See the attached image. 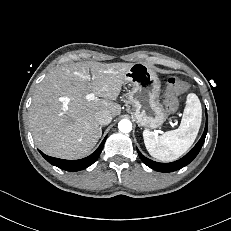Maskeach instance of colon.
Wrapping results in <instances>:
<instances>
[{
	"label": "colon",
	"instance_id": "5ec220e1",
	"mask_svg": "<svg viewBox=\"0 0 231 231\" xmlns=\"http://www.w3.org/2000/svg\"><path fill=\"white\" fill-rule=\"evenodd\" d=\"M189 85L177 78H169L166 85L165 104L166 108L173 112L178 107V95L185 92Z\"/></svg>",
	"mask_w": 231,
	"mask_h": 231
}]
</instances>
